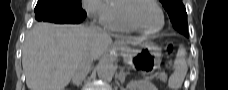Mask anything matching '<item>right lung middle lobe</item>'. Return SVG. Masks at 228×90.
<instances>
[{
  "label": "right lung middle lobe",
  "mask_w": 228,
  "mask_h": 90,
  "mask_svg": "<svg viewBox=\"0 0 228 90\" xmlns=\"http://www.w3.org/2000/svg\"><path fill=\"white\" fill-rule=\"evenodd\" d=\"M44 2V0H38V7ZM56 5L60 6L68 11L69 14H75L81 10V0H55Z\"/></svg>",
  "instance_id": "right-lung-middle-lobe-1"
}]
</instances>
